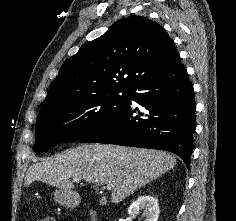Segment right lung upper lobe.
I'll list each match as a JSON object with an SVG mask.
<instances>
[{"label":"right lung upper lobe","instance_id":"obj_1","mask_svg":"<svg viewBox=\"0 0 236 221\" xmlns=\"http://www.w3.org/2000/svg\"><path fill=\"white\" fill-rule=\"evenodd\" d=\"M177 56L173 40L156 22L143 16L121 19L63 63L41 109L84 96L131 90Z\"/></svg>","mask_w":236,"mask_h":221}]
</instances>
